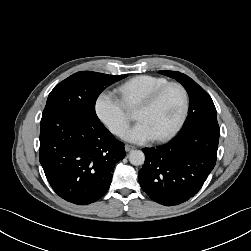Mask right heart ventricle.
Returning a JSON list of instances; mask_svg holds the SVG:
<instances>
[{"mask_svg":"<svg viewBox=\"0 0 251 251\" xmlns=\"http://www.w3.org/2000/svg\"><path fill=\"white\" fill-rule=\"evenodd\" d=\"M164 77L139 75L133 77L118 87V92L128 109H134L150 94L168 83Z\"/></svg>","mask_w":251,"mask_h":251,"instance_id":"right-heart-ventricle-1","label":"right heart ventricle"}]
</instances>
